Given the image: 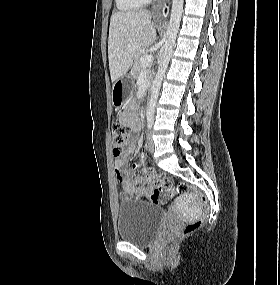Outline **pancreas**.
<instances>
[{"instance_id": "obj_1", "label": "pancreas", "mask_w": 280, "mask_h": 285, "mask_svg": "<svg viewBox=\"0 0 280 285\" xmlns=\"http://www.w3.org/2000/svg\"><path fill=\"white\" fill-rule=\"evenodd\" d=\"M148 52L147 51H144L142 54H140L136 60L134 61V65L132 67V74L133 76L137 79L140 75V72L145 70L147 72V79L148 81H150L151 79V76H152V73H153V69H152V65H148V66H142L141 63H140V59L142 56H145L147 55Z\"/></svg>"}]
</instances>
